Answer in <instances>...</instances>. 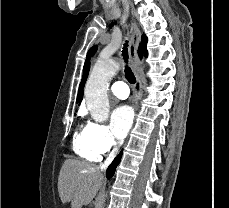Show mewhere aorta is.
I'll return each instance as SVG.
<instances>
[{"label": "aorta", "mask_w": 229, "mask_h": 208, "mask_svg": "<svg viewBox=\"0 0 229 208\" xmlns=\"http://www.w3.org/2000/svg\"><path fill=\"white\" fill-rule=\"evenodd\" d=\"M120 65L114 60L98 61L93 67L85 86V100L91 117L97 122L108 118L109 99L108 84L119 70ZM104 198L97 203L96 208H103Z\"/></svg>", "instance_id": "762f6f07"}]
</instances>
